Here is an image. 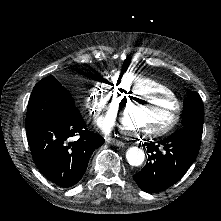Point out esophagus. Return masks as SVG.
I'll return each instance as SVG.
<instances>
[{
    "instance_id": "obj_1",
    "label": "esophagus",
    "mask_w": 221,
    "mask_h": 221,
    "mask_svg": "<svg viewBox=\"0 0 221 221\" xmlns=\"http://www.w3.org/2000/svg\"><path fill=\"white\" fill-rule=\"evenodd\" d=\"M107 143H109L110 145H113V146H117V147H123L124 146V143L115 139V138H107L106 139Z\"/></svg>"
}]
</instances>
